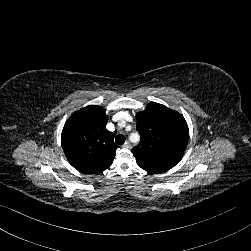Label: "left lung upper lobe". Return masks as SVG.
<instances>
[{
    "label": "left lung upper lobe",
    "instance_id": "obj_1",
    "mask_svg": "<svg viewBox=\"0 0 251 251\" xmlns=\"http://www.w3.org/2000/svg\"><path fill=\"white\" fill-rule=\"evenodd\" d=\"M140 144L132 149L139 163L169 170L183 157L189 130L184 117L170 108L150 102L136 115Z\"/></svg>",
    "mask_w": 251,
    "mask_h": 251
}]
</instances>
